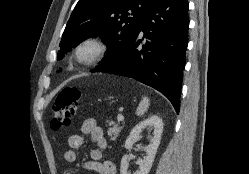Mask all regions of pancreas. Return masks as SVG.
I'll use <instances>...</instances> for the list:
<instances>
[{
	"label": "pancreas",
	"instance_id": "cf45deb5",
	"mask_svg": "<svg viewBox=\"0 0 249 174\" xmlns=\"http://www.w3.org/2000/svg\"><path fill=\"white\" fill-rule=\"evenodd\" d=\"M109 123V125H113V127H110L108 129V135L111 137L112 140H115L120 131L122 130L123 126L119 125V124H115L114 122H110V121H107Z\"/></svg>",
	"mask_w": 249,
	"mask_h": 174
}]
</instances>
